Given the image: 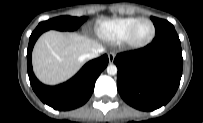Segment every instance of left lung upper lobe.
Returning <instances> with one entry per match:
<instances>
[{"mask_svg": "<svg viewBox=\"0 0 203 123\" xmlns=\"http://www.w3.org/2000/svg\"><path fill=\"white\" fill-rule=\"evenodd\" d=\"M151 20L154 23L156 35L168 30H175L174 26L166 20H162L155 17H151Z\"/></svg>", "mask_w": 203, "mask_h": 123, "instance_id": "left-lung-upper-lobe-1", "label": "left lung upper lobe"}]
</instances>
